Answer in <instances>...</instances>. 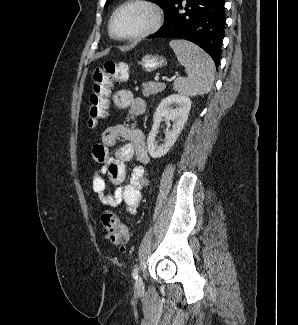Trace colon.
Wrapping results in <instances>:
<instances>
[{
	"mask_svg": "<svg viewBox=\"0 0 298 325\" xmlns=\"http://www.w3.org/2000/svg\"><path fill=\"white\" fill-rule=\"evenodd\" d=\"M128 78V65L120 62H105L93 71V89L89 99L88 125L96 127L107 114L108 97L114 82H123ZM101 222L107 240L116 247L124 248L130 238L129 228L118 215L106 210L101 215Z\"/></svg>",
	"mask_w": 298,
	"mask_h": 325,
	"instance_id": "1",
	"label": "colon"
}]
</instances>
